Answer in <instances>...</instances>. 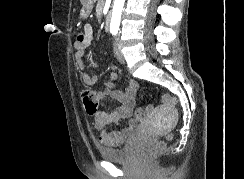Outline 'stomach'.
<instances>
[{"instance_id":"1","label":"stomach","mask_w":244,"mask_h":179,"mask_svg":"<svg viewBox=\"0 0 244 179\" xmlns=\"http://www.w3.org/2000/svg\"><path fill=\"white\" fill-rule=\"evenodd\" d=\"M81 4H83V8L81 10V18H88L91 10H92V0H83V2H81Z\"/></svg>"}]
</instances>
